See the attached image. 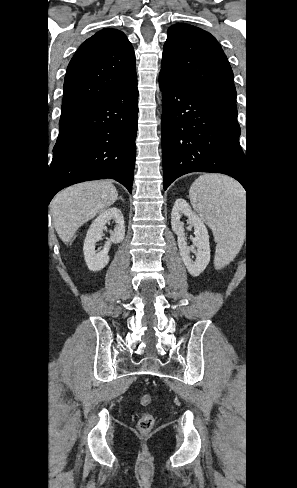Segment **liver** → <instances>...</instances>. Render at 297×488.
Returning <instances> with one entry per match:
<instances>
[{
  "mask_svg": "<svg viewBox=\"0 0 297 488\" xmlns=\"http://www.w3.org/2000/svg\"><path fill=\"white\" fill-rule=\"evenodd\" d=\"M118 199L109 181H90L68 187L50 204V214L60 239L71 242L80 226L104 212Z\"/></svg>",
  "mask_w": 297,
  "mask_h": 488,
  "instance_id": "liver-1",
  "label": "liver"
}]
</instances>
